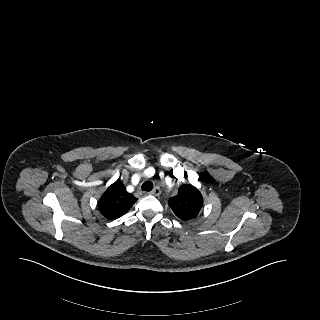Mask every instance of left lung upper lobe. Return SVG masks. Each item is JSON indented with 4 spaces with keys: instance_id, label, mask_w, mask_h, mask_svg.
<instances>
[{
    "instance_id": "left-lung-upper-lobe-1",
    "label": "left lung upper lobe",
    "mask_w": 320,
    "mask_h": 320,
    "mask_svg": "<svg viewBox=\"0 0 320 320\" xmlns=\"http://www.w3.org/2000/svg\"><path fill=\"white\" fill-rule=\"evenodd\" d=\"M168 205L180 219L189 220L198 215L203 198L200 191L191 184L182 185L178 194L170 198Z\"/></svg>"
}]
</instances>
